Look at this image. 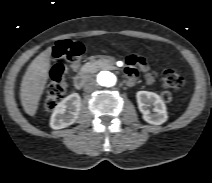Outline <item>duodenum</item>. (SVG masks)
<instances>
[{
  "instance_id": "duodenum-1",
  "label": "duodenum",
  "mask_w": 212,
  "mask_h": 183,
  "mask_svg": "<svg viewBox=\"0 0 212 183\" xmlns=\"http://www.w3.org/2000/svg\"><path fill=\"white\" fill-rule=\"evenodd\" d=\"M88 77H89V71L88 70H83L82 72H80L78 75H76V77L74 79V87L76 89L83 88Z\"/></svg>"
}]
</instances>
